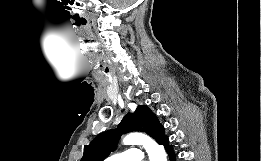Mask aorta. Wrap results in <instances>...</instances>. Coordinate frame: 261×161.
Segmentation results:
<instances>
[{
  "mask_svg": "<svg viewBox=\"0 0 261 161\" xmlns=\"http://www.w3.org/2000/svg\"><path fill=\"white\" fill-rule=\"evenodd\" d=\"M123 143L125 145H142L148 153L150 161H167L164 147L145 134L130 133L123 139Z\"/></svg>",
  "mask_w": 261,
  "mask_h": 161,
  "instance_id": "aorta-1",
  "label": "aorta"
}]
</instances>
